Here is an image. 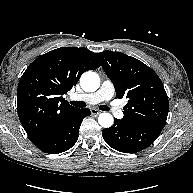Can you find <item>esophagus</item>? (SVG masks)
<instances>
[{
    "label": "esophagus",
    "instance_id": "34e87169",
    "mask_svg": "<svg viewBox=\"0 0 193 193\" xmlns=\"http://www.w3.org/2000/svg\"><path fill=\"white\" fill-rule=\"evenodd\" d=\"M101 113V111H99V110H97V109H95V108H92L91 109V114L93 115V116H97V115H99Z\"/></svg>",
    "mask_w": 193,
    "mask_h": 193
}]
</instances>
